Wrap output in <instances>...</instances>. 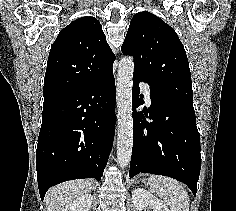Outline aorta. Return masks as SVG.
<instances>
[{
	"mask_svg": "<svg viewBox=\"0 0 236 211\" xmlns=\"http://www.w3.org/2000/svg\"><path fill=\"white\" fill-rule=\"evenodd\" d=\"M134 60L131 56L120 60L117 76V163L128 166L133 147L132 86Z\"/></svg>",
	"mask_w": 236,
	"mask_h": 211,
	"instance_id": "obj_1",
	"label": "aorta"
}]
</instances>
